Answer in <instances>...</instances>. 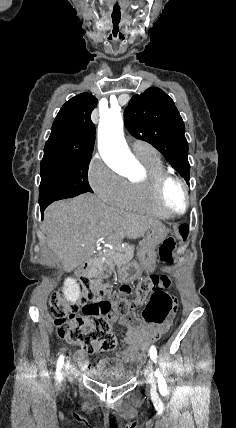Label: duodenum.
Listing matches in <instances>:
<instances>
[{
  "label": "duodenum",
  "mask_w": 236,
  "mask_h": 428,
  "mask_svg": "<svg viewBox=\"0 0 236 428\" xmlns=\"http://www.w3.org/2000/svg\"><path fill=\"white\" fill-rule=\"evenodd\" d=\"M93 263H94V259H88L81 264L78 270V274L81 278L90 279V273H91Z\"/></svg>",
  "instance_id": "obj_1"
}]
</instances>
